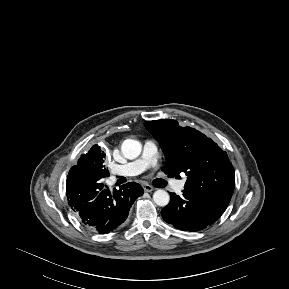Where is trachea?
<instances>
[{
	"instance_id": "trachea-1",
	"label": "trachea",
	"mask_w": 289,
	"mask_h": 289,
	"mask_svg": "<svg viewBox=\"0 0 289 289\" xmlns=\"http://www.w3.org/2000/svg\"><path fill=\"white\" fill-rule=\"evenodd\" d=\"M159 183L162 187H164L166 185V182L164 180H161Z\"/></svg>"
}]
</instances>
